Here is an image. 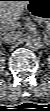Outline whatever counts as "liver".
Instances as JSON below:
<instances>
[{"label": "liver", "mask_w": 50, "mask_h": 111, "mask_svg": "<svg viewBox=\"0 0 50 111\" xmlns=\"http://www.w3.org/2000/svg\"><path fill=\"white\" fill-rule=\"evenodd\" d=\"M28 5L27 0L1 1L0 17L6 21L5 30H14L18 27L16 21L21 17L24 8Z\"/></svg>", "instance_id": "liver-1"}]
</instances>
